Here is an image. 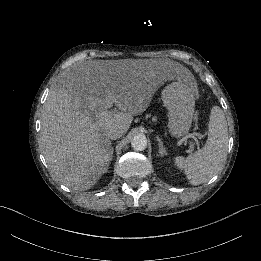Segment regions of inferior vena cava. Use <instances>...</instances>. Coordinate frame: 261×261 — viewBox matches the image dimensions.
Masks as SVG:
<instances>
[{"label":"inferior vena cava","instance_id":"602c4592","mask_svg":"<svg viewBox=\"0 0 261 261\" xmlns=\"http://www.w3.org/2000/svg\"><path fill=\"white\" fill-rule=\"evenodd\" d=\"M123 134V130H120L118 128L111 129L107 132L108 138L112 140L122 137Z\"/></svg>","mask_w":261,"mask_h":261}]
</instances>
